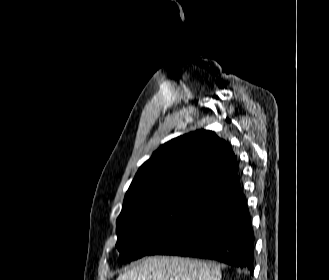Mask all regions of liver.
Segmentation results:
<instances>
[{
	"label": "liver",
	"instance_id": "6515ba94",
	"mask_svg": "<svg viewBox=\"0 0 329 280\" xmlns=\"http://www.w3.org/2000/svg\"><path fill=\"white\" fill-rule=\"evenodd\" d=\"M117 280H221V270L213 262L154 256L127 269Z\"/></svg>",
	"mask_w": 329,
	"mask_h": 280
}]
</instances>
